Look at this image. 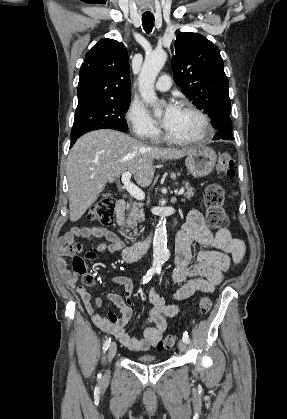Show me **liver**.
Wrapping results in <instances>:
<instances>
[{"instance_id": "liver-1", "label": "liver", "mask_w": 287, "mask_h": 419, "mask_svg": "<svg viewBox=\"0 0 287 419\" xmlns=\"http://www.w3.org/2000/svg\"><path fill=\"white\" fill-rule=\"evenodd\" d=\"M193 149L150 147L116 130L100 129L80 137L67 158L70 221L79 220L105 185L129 171L141 187L151 184L154 160L180 159Z\"/></svg>"}]
</instances>
